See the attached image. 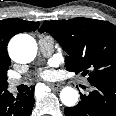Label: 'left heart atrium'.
<instances>
[{"mask_svg":"<svg viewBox=\"0 0 116 116\" xmlns=\"http://www.w3.org/2000/svg\"><path fill=\"white\" fill-rule=\"evenodd\" d=\"M55 76V73L51 69H45L40 73V77L45 79V80H51Z\"/></svg>","mask_w":116,"mask_h":116,"instance_id":"obj_1","label":"left heart atrium"}]
</instances>
